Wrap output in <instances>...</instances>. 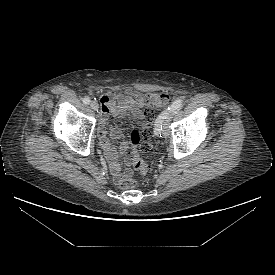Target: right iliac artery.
I'll return each instance as SVG.
<instances>
[{"instance_id":"right-iliac-artery-1","label":"right iliac artery","mask_w":275,"mask_h":275,"mask_svg":"<svg viewBox=\"0 0 275 275\" xmlns=\"http://www.w3.org/2000/svg\"><path fill=\"white\" fill-rule=\"evenodd\" d=\"M83 103H84V104H89V103H90V98H89L88 96H85V97L83 98Z\"/></svg>"}]
</instances>
